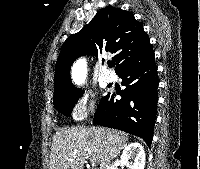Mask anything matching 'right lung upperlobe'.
<instances>
[{
	"instance_id": "right-lung-upper-lobe-1",
	"label": "right lung upper lobe",
	"mask_w": 200,
	"mask_h": 169,
	"mask_svg": "<svg viewBox=\"0 0 200 169\" xmlns=\"http://www.w3.org/2000/svg\"><path fill=\"white\" fill-rule=\"evenodd\" d=\"M98 52L114 54L116 73L154 54L149 36L131 12L106 7L64 42L55 68L54 97L78 90L70 79L71 65L80 56Z\"/></svg>"
}]
</instances>
